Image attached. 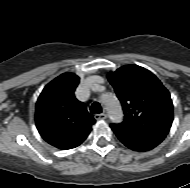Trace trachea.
Returning <instances> with one entry per match:
<instances>
[{
  "label": "trachea",
  "instance_id": "obj_1",
  "mask_svg": "<svg viewBox=\"0 0 190 188\" xmlns=\"http://www.w3.org/2000/svg\"><path fill=\"white\" fill-rule=\"evenodd\" d=\"M90 111L92 113H97V114H100L102 113V107L101 105L98 103V102H94L91 107H90Z\"/></svg>",
  "mask_w": 190,
  "mask_h": 188
}]
</instances>
